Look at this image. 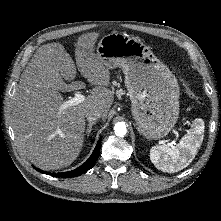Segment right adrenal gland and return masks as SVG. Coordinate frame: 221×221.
<instances>
[{"mask_svg":"<svg viewBox=\"0 0 221 221\" xmlns=\"http://www.w3.org/2000/svg\"><path fill=\"white\" fill-rule=\"evenodd\" d=\"M96 124V121H93V122H90L87 126V129L85 130V135L86 137L88 138L91 134V131H92V126Z\"/></svg>","mask_w":221,"mask_h":221,"instance_id":"1","label":"right adrenal gland"}]
</instances>
